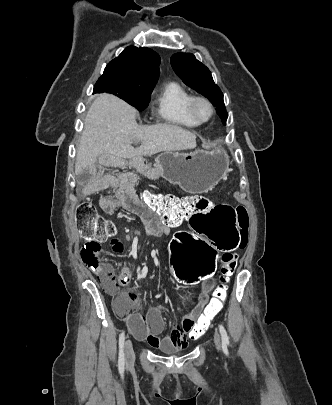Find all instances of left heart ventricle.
Wrapping results in <instances>:
<instances>
[{
  "mask_svg": "<svg viewBox=\"0 0 332 405\" xmlns=\"http://www.w3.org/2000/svg\"><path fill=\"white\" fill-rule=\"evenodd\" d=\"M196 112L200 118H207L210 114V109L208 105L204 102H198L196 104Z\"/></svg>",
  "mask_w": 332,
  "mask_h": 405,
  "instance_id": "b2bd125f",
  "label": "left heart ventricle"
}]
</instances>
